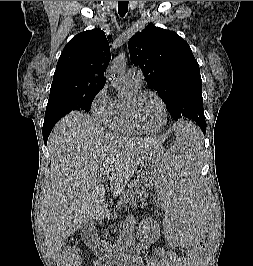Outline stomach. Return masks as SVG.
I'll return each mask as SVG.
<instances>
[{"mask_svg": "<svg viewBox=\"0 0 253 266\" xmlns=\"http://www.w3.org/2000/svg\"><path fill=\"white\" fill-rule=\"evenodd\" d=\"M164 154V149L162 146L155 148L149 153L142 161L140 168L143 177L146 179L147 183L156 184V177L160 176V170L158 169V160H162Z\"/></svg>", "mask_w": 253, "mask_h": 266, "instance_id": "1", "label": "stomach"}]
</instances>
